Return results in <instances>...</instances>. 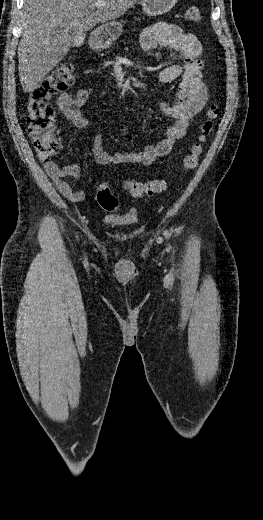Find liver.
<instances>
[{
    "instance_id": "obj_1",
    "label": "liver",
    "mask_w": 263,
    "mask_h": 520,
    "mask_svg": "<svg viewBox=\"0 0 263 520\" xmlns=\"http://www.w3.org/2000/svg\"><path fill=\"white\" fill-rule=\"evenodd\" d=\"M104 3L101 7L94 4ZM139 0H25L18 46L19 78L31 92L68 54L72 28L86 32L124 15Z\"/></svg>"
}]
</instances>
